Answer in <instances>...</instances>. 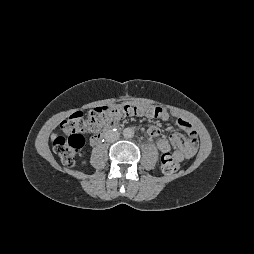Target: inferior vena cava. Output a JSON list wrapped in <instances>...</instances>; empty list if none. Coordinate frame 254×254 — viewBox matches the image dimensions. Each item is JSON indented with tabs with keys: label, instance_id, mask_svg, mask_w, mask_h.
Segmentation results:
<instances>
[{
	"label": "inferior vena cava",
	"instance_id": "obj_1",
	"mask_svg": "<svg viewBox=\"0 0 254 254\" xmlns=\"http://www.w3.org/2000/svg\"><path fill=\"white\" fill-rule=\"evenodd\" d=\"M104 137H105V140H106L107 142L113 143V142H116V141L119 139L120 134H119V132H117V131L108 130V131L105 133Z\"/></svg>",
	"mask_w": 254,
	"mask_h": 254
}]
</instances>
